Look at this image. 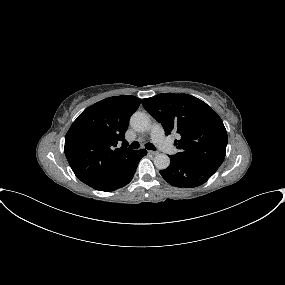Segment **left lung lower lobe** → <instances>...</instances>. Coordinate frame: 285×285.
<instances>
[{"instance_id": "0a47b994", "label": "left lung lower lobe", "mask_w": 285, "mask_h": 285, "mask_svg": "<svg viewBox=\"0 0 285 285\" xmlns=\"http://www.w3.org/2000/svg\"><path fill=\"white\" fill-rule=\"evenodd\" d=\"M170 165L160 174L166 182L176 187L192 188L204 184L219 167L187 161L170 156Z\"/></svg>"}]
</instances>
